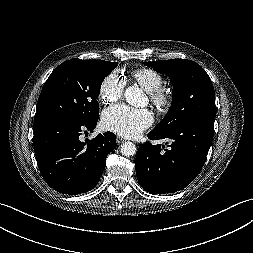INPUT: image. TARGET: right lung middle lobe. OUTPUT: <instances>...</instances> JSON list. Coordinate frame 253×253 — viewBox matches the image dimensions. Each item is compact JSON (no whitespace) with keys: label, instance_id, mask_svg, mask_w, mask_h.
I'll return each instance as SVG.
<instances>
[{"label":"right lung middle lobe","instance_id":"obj_1","mask_svg":"<svg viewBox=\"0 0 253 253\" xmlns=\"http://www.w3.org/2000/svg\"><path fill=\"white\" fill-rule=\"evenodd\" d=\"M118 63L70 59L54 69L39 96L34 121L63 117L88 122L99 117L97 98L104 78Z\"/></svg>","mask_w":253,"mask_h":253}]
</instances>
